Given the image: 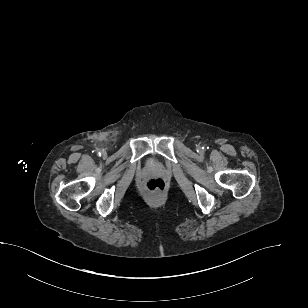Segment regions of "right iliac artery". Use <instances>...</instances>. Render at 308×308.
Listing matches in <instances>:
<instances>
[{"label": "right iliac artery", "instance_id": "1", "mask_svg": "<svg viewBox=\"0 0 308 308\" xmlns=\"http://www.w3.org/2000/svg\"><path fill=\"white\" fill-rule=\"evenodd\" d=\"M98 154H99V156H101V151L98 150Z\"/></svg>", "mask_w": 308, "mask_h": 308}]
</instances>
